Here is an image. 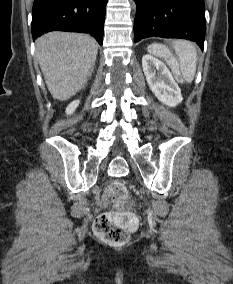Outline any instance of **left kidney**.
I'll use <instances>...</instances> for the list:
<instances>
[{
	"label": "left kidney",
	"instance_id": "5707ae66",
	"mask_svg": "<svg viewBox=\"0 0 233 284\" xmlns=\"http://www.w3.org/2000/svg\"><path fill=\"white\" fill-rule=\"evenodd\" d=\"M142 67L148 85L159 101L170 107L181 103V90L161 60L146 54L142 58Z\"/></svg>",
	"mask_w": 233,
	"mask_h": 284
}]
</instances>
